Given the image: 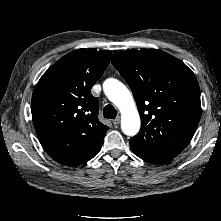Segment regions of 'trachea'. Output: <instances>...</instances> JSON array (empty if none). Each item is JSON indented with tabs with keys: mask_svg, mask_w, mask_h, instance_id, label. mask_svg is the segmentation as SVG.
Wrapping results in <instances>:
<instances>
[{
	"mask_svg": "<svg viewBox=\"0 0 221 221\" xmlns=\"http://www.w3.org/2000/svg\"><path fill=\"white\" fill-rule=\"evenodd\" d=\"M117 115V111L113 105L108 104L104 107L103 116L107 119H114Z\"/></svg>",
	"mask_w": 221,
	"mask_h": 221,
	"instance_id": "3493384b",
	"label": "trachea"
}]
</instances>
